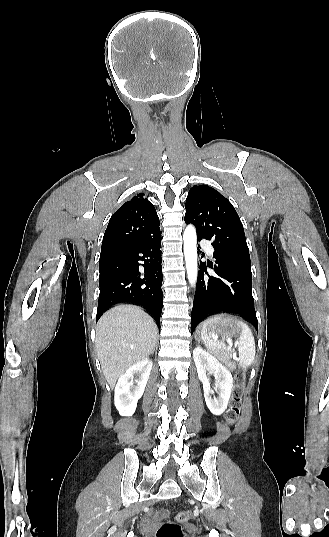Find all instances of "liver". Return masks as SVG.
Here are the masks:
<instances>
[{"label":"liver","mask_w":329,"mask_h":537,"mask_svg":"<svg viewBox=\"0 0 329 537\" xmlns=\"http://www.w3.org/2000/svg\"><path fill=\"white\" fill-rule=\"evenodd\" d=\"M158 328L140 307L119 305L107 311L96 327V352L111 388L132 365L154 351Z\"/></svg>","instance_id":"1"}]
</instances>
